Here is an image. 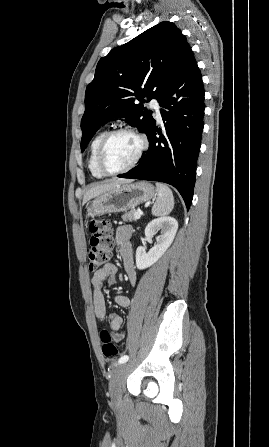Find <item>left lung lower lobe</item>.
Returning <instances> with one entry per match:
<instances>
[{"label":"left lung lower lobe","instance_id":"left-lung-lower-lobe-1","mask_svg":"<svg viewBox=\"0 0 269 447\" xmlns=\"http://www.w3.org/2000/svg\"><path fill=\"white\" fill-rule=\"evenodd\" d=\"M159 104L164 127L155 119L146 133L149 149L139 165L121 178L160 181L174 186L189 209L193 199L197 159L203 131L204 87L189 48Z\"/></svg>","mask_w":269,"mask_h":447}]
</instances>
